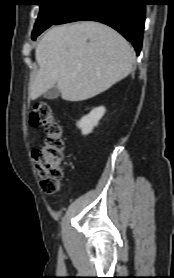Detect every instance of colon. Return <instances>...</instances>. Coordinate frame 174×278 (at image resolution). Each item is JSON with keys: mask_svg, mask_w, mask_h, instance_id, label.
<instances>
[{"mask_svg": "<svg viewBox=\"0 0 174 278\" xmlns=\"http://www.w3.org/2000/svg\"><path fill=\"white\" fill-rule=\"evenodd\" d=\"M29 123L44 131L41 145L33 150L34 167L41 178L40 185L47 194L60 189L62 164L65 160V140L61 124L55 119L51 107L45 102H37L31 109Z\"/></svg>", "mask_w": 174, "mask_h": 278, "instance_id": "obj_1", "label": "colon"}]
</instances>
